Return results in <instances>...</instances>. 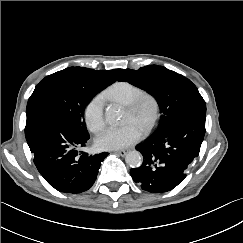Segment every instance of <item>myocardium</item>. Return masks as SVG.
I'll return each instance as SVG.
<instances>
[{"instance_id":"1","label":"myocardium","mask_w":243,"mask_h":243,"mask_svg":"<svg viewBox=\"0 0 243 243\" xmlns=\"http://www.w3.org/2000/svg\"><path fill=\"white\" fill-rule=\"evenodd\" d=\"M147 104L152 106L153 116L150 123L143 129L145 134L150 133L158 123L160 117V103L158 98L153 93L144 91L134 101L126 105L127 109L132 113H139Z\"/></svg>"}]
</instances>
